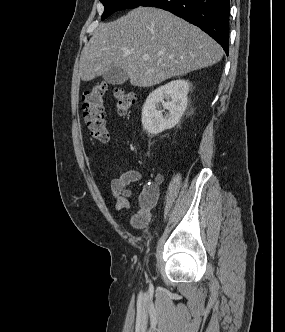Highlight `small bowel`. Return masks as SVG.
Here are the masks:
<instances>
[{
  "instance_id": "c3829d8e",
  "label": "small bowel",
  "mask_w": 285,
  "mask_h": 332,
  "mask_svg": "<svg viewBox=\"0 0 285 332\" xmlns=\"http://www.w3.org/2000/svg\"><path fill=\"white\" fill-rule=\"evenodd\" d=\"M142 174L137 170H128L113 179L110 184L111 194L117 211L128 210L133 207L130 202L132 191L128 188L131 184L139 182ZM164 181L161 173L155 175L154 180L146 184L139 195L138 211L132 217L134 226L145 227L151 217V209L155 206L160 195V185Z\"/></svg>"
}]
</instances>
